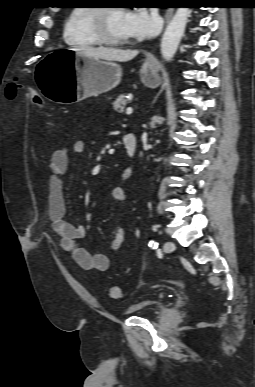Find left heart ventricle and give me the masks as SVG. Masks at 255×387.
Listing matches in <instances>:
<instances>
[{"label": "left heart ventricle", "instance_id": "1", "mask_svg": "<svg viewBox=\"0 0 255 387\" xmlns=\"http://www.w3.org/2000/svg\"><path fill=\"white\" fill-rule=\"evenodd\" d=\"M125 11L122 9H114L110 12L108 17V27L110 33L117 38H128L124 29Z\"/></svg>", "mask_w": 255, "mask_h": 387}]
</instances>
